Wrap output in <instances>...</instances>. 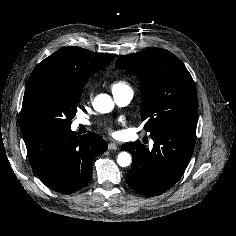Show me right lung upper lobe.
<instances>
[{
  "instance_id": "right-lung-upper-lobe-1",
  "label": "right lung upper lobe",
  "mask_w": 236,
  "mask_h": 236,
  "mask_svg": "<svg viewBox=\"0 0 236 236\" xmlns=\"http://www.w3.org/2000/svg\"><path fill=\"white\" fill-rule=\"evenodd\" d=\"M114 57L79 47H63L41 61L29 80L44 78L62 84H84L90 75L104 69Z\"/></svg>"
}]
</instances>
